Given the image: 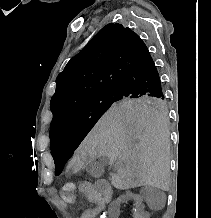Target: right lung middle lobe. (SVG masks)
Wrapping results in <instances>:
<instances>
[{
    "label": "right lung middle lobe",
    "mask_w": 211,
    "mask_h": 218,
    "mask_svg": "<svg viewBox=\"0 0 211 218\" xmlns=\"http://www.w3.org/2000/svg\"><path fill=\"white\" fill-rule=\"evenodd\" d=\"M149 106L160 112L167 110L162 97H123L116 91L89 99L60 115L50 126L51 146L71 143L78 146L99 118L112 106ZM64 164L56 163L55 175L62 172Z\"/></svg>",
    "instance_id": "right-lung-middle-lobe-1"
}]
</instances>
